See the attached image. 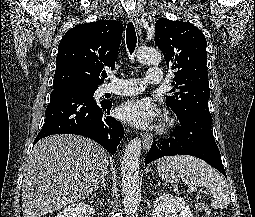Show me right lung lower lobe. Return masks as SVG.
I'll return each mask as SVG.
<instances>
[{"instance_id": "98d812e1", "label": "right lung lower lobe", "mask_w": 255, "mask_h": 217, "mask_svg": "<svg viewBox=\"0 0 255 217\" xmlns=\"http://www.w3.org/2000/svg\"><path fill=\"white\" fill-rule=\"evenodd\" d=\"M110 101L96 102L84 92L53 90L45 123L34 144L53 134H76L91 138L115 153L124 128L110 116Z\"/></svg>"}]
</instances>
